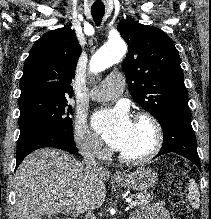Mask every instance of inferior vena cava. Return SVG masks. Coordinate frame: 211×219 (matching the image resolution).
<instances>
[{
	"label": "inferior vena cava",
	"mask_w": 211,
	"mask_h": 219,
	"mask_svg": "<svg viewBox=\"0 0 211 219\" xmlns=\"http://www.w3.org/2000/svg\"><path fill=\"white\" fill-rule=\"evenodd\" d=\"M81 154L84 158V162H85V165L87 168H89L91 170H101L102 169V167L95 161V158L90 151L85 150V151H82ZM85 219H96L92 209L88 208L85 211Z\"/></svg>",
	"instance_id": "1"
}]
</instances>
